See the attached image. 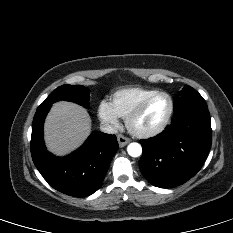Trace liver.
<instances>
[{"mask_svg": "<svg viewBox=\"0 0 233 233\" xmlns=\"http://www.w3.org/2000/svg\"><path fill=\"white\" fill-rule=\"evenodd\" d=\"M91 132V120L86 110L71 102L53 104L44 126L48 150L64 156L77 149Z\"/></svg>", "mask_w": 233, "mask_h": 233, "instance_id": "obj_1", "label": "liver"}]
</instances>
